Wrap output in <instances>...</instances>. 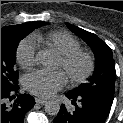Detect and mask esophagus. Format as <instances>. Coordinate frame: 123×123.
I'll return each instance as SVG.
<instances>
[{
	"mask_svg": "<svg viewBox=\"0 0 123 123\" xmlns=\"http://www.w3.org/2000/svg\"><path fill=\"white\" fill-rule=\"evenodd\" d=\"M35 101H36L37 104H41V105H44L46 103V100L39 99V98H36Z\"/></svg>",
	"mask_w": 123,
	"mask_h": 123,
	"instance_id": "esophagus-1",
	"label": "esophagus"
}]
</instances>
